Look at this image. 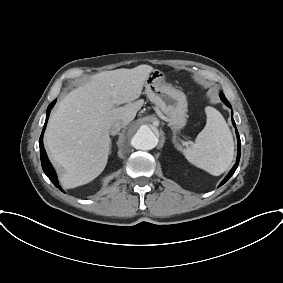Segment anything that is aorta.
Masks as SVG:
<instances>
[{
  "label": "aorta",
  "instance_id": "obj_1",
  "mask_svg": "<svg viewBox=\"0 0 283 283\" xmlns=\"http://www.w3.org/2000/svg\"><path fill=\"white\" fill-rule=\"evenodd\" d=\"M158 138L146 125L139 126L132 135L131 144L140 150H151L156 147Z\"/></svg>",
  "mask_w": 283,
  "mask_h": 283
}]
</instances>
